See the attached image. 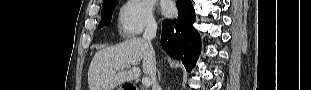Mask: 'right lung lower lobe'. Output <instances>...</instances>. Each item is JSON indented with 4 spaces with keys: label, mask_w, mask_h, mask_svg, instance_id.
Returning a JSON list of instances; mask_svg holds the SVG:
<instances>
[{
    "label": "right lung lower lobe",
    "mask_w": 311,
    "mask_h": 90,
    "mask_svg": "<svg viewBox=\"0 0 311 90\" xmlns=\"http://www.w3.org/2000/svg\"><path fill=\"white\" fill-rule=\"evenodd\" d=\"M178 17L164 20L161 44L164 51L172 57L182 60L190 71L200 53V36L193 27L195 12L191 0H177Z\"/></svg>",
    "instance_id": "obj_1"
}]
</instances>
